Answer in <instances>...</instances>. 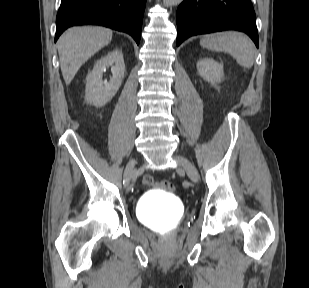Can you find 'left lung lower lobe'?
Segmentation results:
<instances>
[{
	"instance_id": "obj_1",
	"label": "left lung lower lobe",
	"mask_w": 309,
	"mask_h": 288,
	"mask_svg": "<svg viewBox=\"0 0 309 288\" xmlns=\"http://www.w3.org/2000/svg\"><path fill=\"white\" fill-rule=\"evenodd\" d=\"M176 19L177 46L190 36L234 29L247 33L259 47L250 0H184L177 9Z\"/></svg>"
}]
</instances>
